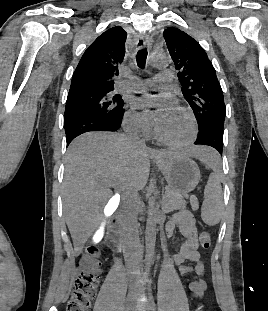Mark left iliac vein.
I'll return each mask as SVG.
<instances>
[{"mask_svg":"<svg viewBox=\"0 0 268 311\" xmlns=\"http://www.w3.org/2000/svg\"><path fill=\"white\" fill-rule=\"evenodd\" d=\"M143 310H144V311H152V308L149 307L148 305H144V306H143Z\"/></svg>","mask_w":268,"mask_h":311,"instance_id":"4c4485c4","label":"left iliac vein"}]
</instances>
